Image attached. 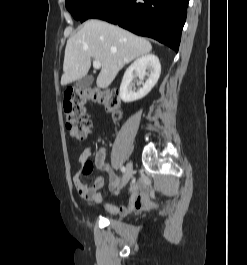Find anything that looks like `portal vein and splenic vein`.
Returning a JSON list of instances; mask_svg holds the SVG:
<instances>
[{
	"label": "portal vein and splenic vein",
	"mask_w": 247,
	"mask_h": 265,
	"mask_svg": "<svg viewBox=\"0 0 247 265\" xmlns=\"http://www.w3.org/2000/svg\"><path fill=\"white\" fill-rule=\"evenodd\" d=\"M93 67L95 68V69H99L100 67H101V63H100V61H93Z\"/></svg>",
	"instance_id": "1"
}]
</instances>
